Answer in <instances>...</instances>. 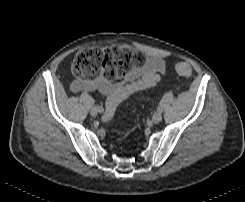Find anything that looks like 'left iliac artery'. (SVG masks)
Returning a JSON list of instances; mask_svg holds the SVG:
<instances>
[{
  "instance_id": "left-iliac-artery-1",
  "label": "left iliac artery",
  "mask_w": 245,
  "mask_h": 202,
  "mask_svg": "<svg viewBox=\"0 0 245 202\" xmlns=\"http://www.w3.org/2000/svg\"><path fill=\"white\" fill-rule=\"evenodd\" d=\"M157 111L161 113L162 112V109L158 106L157 107Z\"/></svg>"
}]
</instances>
